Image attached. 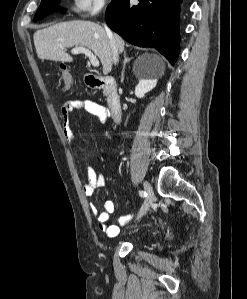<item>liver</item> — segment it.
Instances as JSON below:
<instances>
[{
    "instance_id": "1",
    "label": "liver",
    "mask_w": 247,
    "mask_h": 299,
    "mask_svg": "<svg viewBox=\"0 0 247 299\" xmlns=\"http://www.w3.org/2000/svg\"><path fill=\"white\" fill-rule=\"evenodd\" d=\"M36 53L41 60L72 62L73 58L66 53L70 47H85L92 50L99 57L103 74L108 75L112 70L113 53L110 38L105 29L91 21L74 20L61 22L50 27L37 30L34 33ZM115 45L118 52H123L125 43L123 39L114 34ZM157 69V75L162 76L165 63L156 54H145Z\"/></svg>"
}]
</instances>
